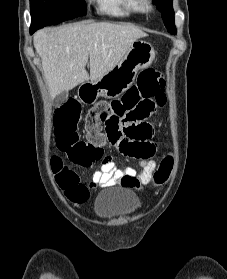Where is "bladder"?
Segmentation results:
<instances>
[{"label":"bladder","mask_w":227,"mask_h":279,"mask_svg":"<svg viewBox=\"0 0 227 279\" xmlns=\"http://www.w3.org/2000/svg\"><path fill=\"white\" fill-rule=\"evenodd\" d=\"M140 207L135 193L124 188L100 192L95 201L93 212L100 219H113L134 213Z\"/></svg>","instance_id":"obj_1"}]
</instances>
